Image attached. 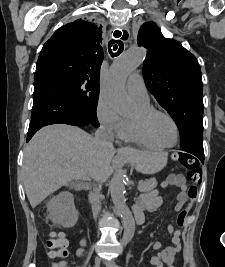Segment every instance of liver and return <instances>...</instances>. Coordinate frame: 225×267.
<instances>
[{"label": "liver", "instance_id": "liver-1", "mask_svg": "<svg viewBox=\"0 0 225 267\" xmlns=\"http://www.w3.org/2000/svg\"><path fill=\"white\" fill-rule=\"evenodd\" d=\"M113 147L102 150L84 130L65 124H53L39 130L24 151L23 183L32 208L50 194L73 180H90L98 169L106 178L113 164L129 163L146 173L147 154L129 150L123 158L115 157Z\"/></svg>", "mask_w": 225, "mask_h": 267}]
</instances>
